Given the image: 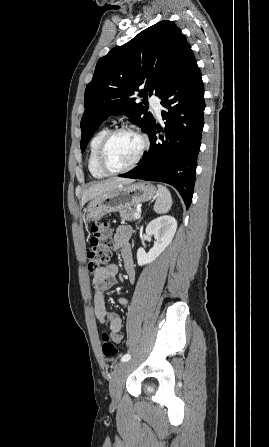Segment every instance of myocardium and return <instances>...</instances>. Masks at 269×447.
<instances>
[{"label":"myocardium","mask_w":269,"mask_h":447,"mask_svg":"<svg viewBox=\"0 0 269 447\" xmlns=\"http://www.w3.org/2000/svg\"><path fill=\"white\" fill-rule=\"evenodd\" d=\"M123 131H132V132L137 133L142 138V147H141L139 153L137 154L135 160L130 165H128L126 167H122V168H112L106 162L107 147H108L109 142L113 138V136L116 135L117 133L123 132ZM149 147H150L149 136L142 128L135 126V125H123L120 127H116L114 129H111L105 135V137L103 138V140L101 142L100 149H99V155H98L99 166L102 168V170H104L106 173H109V174H118V173L129 171V170L133 169L141 161V159L144 157L145 153L148 151Z\"/></svg>","instance_id":"f54148a6"}]
</instances>
